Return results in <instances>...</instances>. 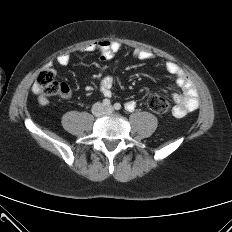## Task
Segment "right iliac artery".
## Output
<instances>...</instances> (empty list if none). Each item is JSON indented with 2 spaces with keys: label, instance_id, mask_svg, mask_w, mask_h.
Instances as JSON below:
<instances>
[{
  "label": "right iliac artery",
  "instance_id": "right-iliac-artery-1",
  "mask_svg": "<svg viewBox=\"0 0 232 232\" xmlns=\"http://www.w3.org/2000/svg\"><path fill=\"white\" fill-rule=\"evenodd\" d=\"M111 104L110 100L109 99H104L103 100V105L104 106H109Z\"/></svg>",
  "mask_w": 232,
  "mask_h": 232
}]
</instances>
